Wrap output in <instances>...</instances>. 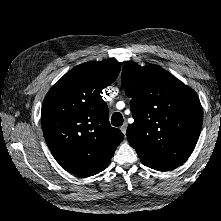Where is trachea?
Instances as JSON below:
<instances>
[{"label":"trachea","mask_w":221,"mask_h":221,"mask_svg":"<svg viewBox=\"0 0 221 221\" xmlns=\"http://www.w3.org/2000/svg\"><path fill=\"white\" fill-rule=\"evenodd\" d=\"M111 123L113 126L119 127L123 124V116L120 112L113 113L111 117Z\"/></svg>","instance_id":"trachea-1"}]
</instances>
